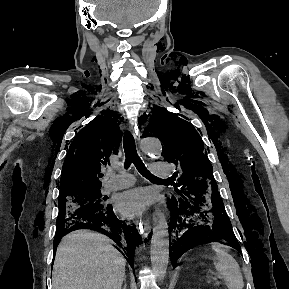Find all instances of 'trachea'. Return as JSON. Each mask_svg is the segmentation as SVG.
Wrapping results in <instances>:
<instances>
[{
    "label": "trachea",
    "instance_id": "1",
    "mask_svg": "<svg viewBox=\"0 0 289 289\" xmlns=\"http://www.w3.org/2000/svg\"><path fill=\"white\" fill-rule=\"evenodd\" d=\"M123 148L125 152V162H124L125 169H128L130 165L133 163L142 176L149 179L160 180L159 178L153 176L146 169L145 165L143 164L142 160L137 154L135 140L129 131H127L124 135Z\"/></svg>",
    "mask_w": 289,
    "mask_h": 289
}]
</instances>
